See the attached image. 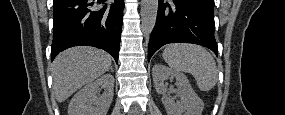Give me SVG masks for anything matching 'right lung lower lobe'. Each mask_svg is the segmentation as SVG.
Listing matches in <instances>:
<instances>
[{
	"mask_svg": "<svg viewBox=\"0 0 285 115\" xmlns=\"http://www.w3.org/2000/svg\"><path fill=\"white\" fill-rule=\"evenodd\" d=\"M54 0L51 59L73 46H94L118 61L124 0Z\"/></svg>",
	"mask_w": 285,
	"mask_h": 115,
	"instance_id": "1",
	"label": "right lung lower lobe"
}]
</instances>
